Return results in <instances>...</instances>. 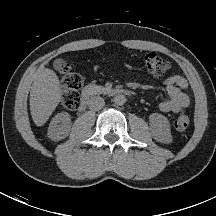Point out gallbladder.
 I'll return each instance as SVG.
<instances>
[{"label":"gallbladder","instance_id":"obj_1","mask_svg":"<svg viewBox=\"0 0 216 216\" xmlns=\"http://www.w3.org/2000/svg\"><path fill=\"white\" fill-rule=\"evenodd\" d=\"M64 65H65V61L62 59H56L53 63V66L57 71H62Z\"/></svg>","mask_w":216,"mask_h":216}]
</instances>
